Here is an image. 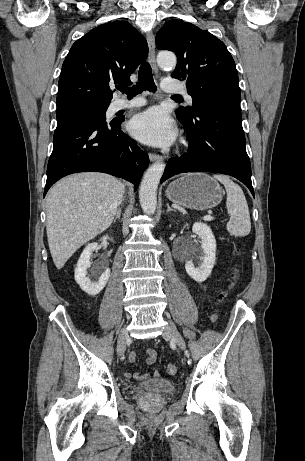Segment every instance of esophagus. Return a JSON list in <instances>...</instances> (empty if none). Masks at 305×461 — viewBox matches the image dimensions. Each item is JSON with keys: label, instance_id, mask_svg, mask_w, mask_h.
<instances>
[{"label": "esophagus", "instance_id": "obj_1", "mask_svg": "<svg viewBox=\"0 0 305 461\" xmlns=\"http://www.w3.org/2000/svg\"><path fill=\"white\" fill-rule=\"evenodd\" d=\"M146 39H147V43H148V48H149V61L151 63V66L153 68V70L157 73L158 72V68H157V65H156V53H155V37H154V34L152 31H148L146 33ZM149 159L150 161H158V160H161L162 157L158 154H149Z\"/></svg>", "mask_w": 305, "mask_h": 461}]
</instances>
